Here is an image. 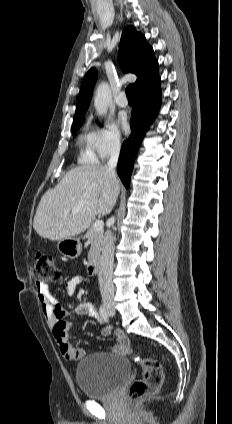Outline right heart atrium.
I'll return each instance as SVG.
<instances>
[{
	"label": "right heart atrium",
	"instance_id": "right-heart-atrium-1",
	"mask_svg": "<svg viewBox=\"0 0 232 424\" xmlns=\"http://www.w3.org/2000/svg\"><path fill=\"white\" fill-rule=\"evenodd\" d=\"M94 149L100 158L117 153L122 144L118 128L113 123H105L94 131Z\"/></svg>",
	"mask_w": 232,
	"mask_h": 424
}]
</instances>
